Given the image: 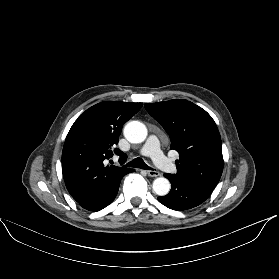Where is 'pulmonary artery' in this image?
I'll use <instances>...</instances> for the list:
<instances>
[{
	"label": "pulmonary artery",
	"mask_w": 279,
	"mask_h": 279,
	"mask_svg": "<svg viewBox=\"0 0 279 279\" xmlns=\"http://www.w3.org/2000/svg\"><path fill=\"white\" fill-rule=\"evenodd\" d=\"M144 156L151 157L155 164L165 172L173 173L176 171L175 165L163 154L160 141L156 135H151L141 149Z\"/></svg>",
	"instance_id": "pulmonary-artery-1"
}]
</instances>
